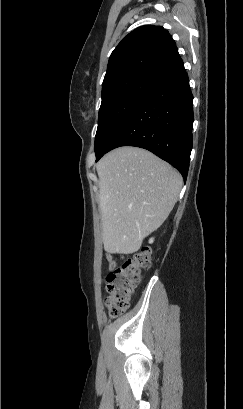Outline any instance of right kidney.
Returning a JSON list of instances; mask_svg holds the SVG:
<instances>
[{
  "instance_id": "right-kidney-1",
  "label": "right kidney",
  "mask_w": 243,
  "mask_h": 409,
  "mask_svg": "<svg viewBox=\"0 0 243 409\" xmlns=\"http://www.w3.org/2000/svg\"><path fill=\"white\" fill-rule=\"evenodd\" d=\"M153 240H154V239H153V238H151V239L149 240V243H153Z\"/></svg>"
}]
</instances>
